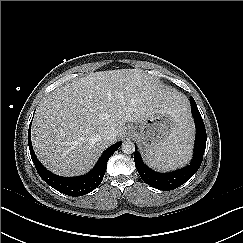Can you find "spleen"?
I'll return each instance as SVG.
<instances>
[{"mask_svg": "<svg viewBox=\"0 0 243 243\" xmlns=\"http://www.w3.org/2000/svg\"><path fill=\"white\" fill-rule=\"evenodd\" d=\"M192 140L189 129L179 128L155 153L146 154V160L151 166L161 170L181 167L191 158Z\"/></svg>", "mask_w": 243, "mask_h": 243, "instance_id": "1", "label": "spleen"}]
</instances>
